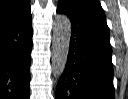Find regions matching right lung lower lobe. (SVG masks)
Segmentation results:
<instances>
[{
	"instance_id": "98d812e1",
	"label": "right lung lower lobe",
	"mask_w": 128,
	"mask_h": 99,
	"mask_svg": "<svg viewBox=\"0 0 128 99\" xmlns=\"http://www.w3.org/2000/svg\"><path fill=\"white\" fill-rule=\"evenodd\" d=\"M30 8L0 28V99H29Z\"/></svg>"
}]
</instances>
